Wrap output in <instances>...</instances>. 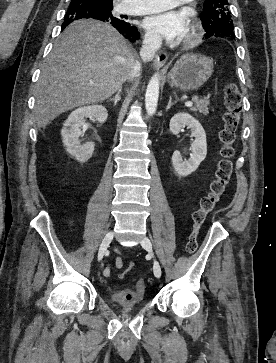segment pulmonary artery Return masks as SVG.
<instances>
[{
	"label": "pulmonary artery",
	"mask_w": 276,
	"mask_h": 363,
	"mask_svg": "<svg viewBox=\"0 0 276 363\" xmlns=\"http://www.w3.org/2000/svg\"><path fill=\"white\" fill-rule=\"evenodd\" d=\"M133 0H125L124 12L132 15L150 14L167 10L190 0H139L131 5Z\"/></svg>",
	"instance_id": "obj_1"
}]
</instances>
